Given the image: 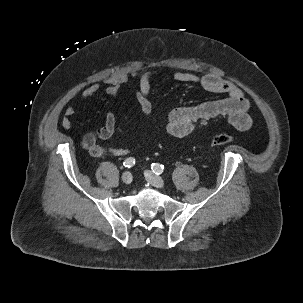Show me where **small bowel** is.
<instances>
[{
  "instance_id": "c3829d8e",
  "label": "small bowel",
  "mask_w": 303,
  "mask_h": 303,
  "mask_svg": "<svg viewBox=\"0 0 303 303\" xmlns=\"http://www.w3.org/2000/svg\"><path fill=\"white\" fill-rule=\"evenodd\" d=\"M174 79L182 83H193L202 86L205 90L226 94L227 97L207 101L196 105L182 106L173 109L167 120V131L170 135L182 138L191 134L200 124L216 117H225L228 122L239 131H247L252 125V120L248 114L250 107L243 91L232 82L224 80L214 74L198 76L188 72H176ZM155 78L153 72H142L132 70L129 73L115 72L104 79L107 84L106 93L114 97L121 85L130 84L132 80H137L134 87L135 97L140 105L142 115L149 116L152 112V103L150 100L151 83ZM98 90L97 86L86 88L82 94V99L93 96ZM76 110L72 106L65 109L64 116L61 119V125L65 129L73 126L71 117L75 115ZM116 120L113 112L106 114L105 123L102 127L87 132L81 139V146L92 156L100 157L104 154L115 156H124L130 152L128 148H105L99 144V141L107 140L112 137L115 131Z\"/></svg>"
}]
</instances>
